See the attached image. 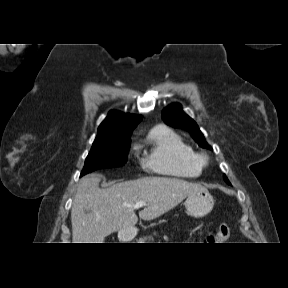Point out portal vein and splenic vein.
Listing matches in <instances>:
<instances>
[{
  "label": "portal vein and splenic vein",
  "mask_w": 288,
  "mask_h": 288,
  "mask_svg": "<svg viewBox=\"0 0 288 288\" xmlns=\"http://www.w3.org/2000/svg\"><path fill=\"white\" fill-rule=\"evenodd\" d=\"M145 205H146V202L139 201V202H136L133 207H134V208H140V207H143V206H145Z\"/></svg>",
  "instance_id": "obj_1"
}]
</instances>
